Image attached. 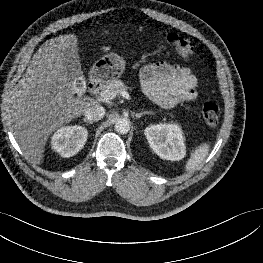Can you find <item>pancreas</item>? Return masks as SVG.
I'll return each mask as SVG.
<instances>
[{"mask_svg": "<svg viewBox=\"0 0 263 263\" xmlns=\"http://www.w3.org/2000/svg\"><path fill=\"white\" fill-rule=\"evenodd\" d=\"M104 90L108 89L110 91L119 94L120 91H127L128 87L121 80H111L106 82L103 87Z\"/></svg>", "mask_w": 263, "mask_h": 263, "instance_id": "cf45deb5", "label": "pancreas"}]
</instances>
